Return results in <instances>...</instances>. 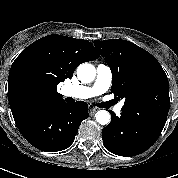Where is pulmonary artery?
<instances>
[{
	"label": "pulmonary artery",
	"mask_w": 178,
	"mask_h": 178,
	"mask_svg": "<svg viewBox=\"0 0 178 178\" xmlns=\"http://www.w3.org/2000/svg\"><path fill=\"white\" fill-rule=\"evenodd\" d=\"M112 83L111 68L105 64H99L96 68V78L92 86H64L61 90L62 95L75 99H89L106 92ZM122 105L115 107V112L120 113Z\"/></svg>",
	"instance_id": "1"
}]
</instances>
